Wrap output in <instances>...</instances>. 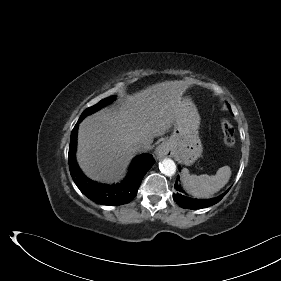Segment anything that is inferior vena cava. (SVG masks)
Wrapping results in <instances>:
<instances>
[{
	"mask_svg": "<svg viewBox=\"0 0 281 281\" xmlns=\"http://www.w3.org/2000/svg\"><path fill=\"white\" fill-rule=\"evenodd\" d=\"M151 146L149 142H141L137 145L136 149L139 152H147L150 150Z\"/></svg>",
	"mask_w": 281,
	"mask_h": 281,
	"instance_id": "inferior-vena-cava-1",
	"label": "inferior vena cava"
}]
</instances>
